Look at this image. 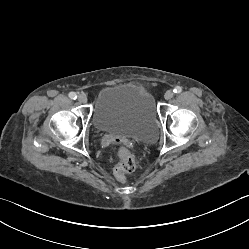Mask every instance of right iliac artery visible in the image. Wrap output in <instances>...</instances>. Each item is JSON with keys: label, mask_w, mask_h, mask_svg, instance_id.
Masks as SVG:
<instances>
[{"label": "right iliac artery", "mask_w": 249, "mask_h": 249, "mask_svg": "<svg viewBox=\"0 0 249 249\" xmlns=\"http://www.w3.org/2000/svg\"><path fill=\"white\" fill-rule=\"evenodd\" d=\"M69 98L75 100L77 98V95L75 92H70L69 93Z\"/></svg>", "instance_id": "1"}]
</instances>
